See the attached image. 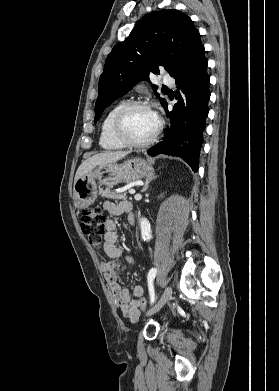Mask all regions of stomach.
Masks as SVG:
<instances>
[{"label": "stomach", "mask_w": 279, "mask_h": 391, "mask_svg": "<svg viewBox=\"0 0 279 391\" xmlns=\"http://www.w3.org/2000/svg\"><path fill=\"white\" fill-rule=\"evenodd\" d=\"M152 173V167L141 158H132L121 164L98 165L75 182V205L86 208L94 203L97 198V180L100 184L113 186L120 182L130 183L149 177Z\"/></svg>", "instance_id": "obj_1"}]
</instances>
